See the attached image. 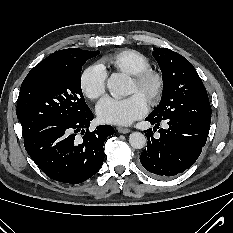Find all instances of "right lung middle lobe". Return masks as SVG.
<instances>
[{
	"mask_svg": "<svg viewBox=\"0 0 233 233\" xmlns=\"http://www.w3.org/2000/svg\"><path fill=\"white\" fill-rule=\"evenodd\" d=\"M99 51L70 48L52 53L31 69L17 101L24 140L50 126L68 124L90 112L81 90V70Z\"/></svg>",
	"mask_w": 233,
	"mask_h": 233,
	"instance_id": "right-lung-middle-lobe-1",
	"label": "right lung middle lobe"
}]
</instances>
